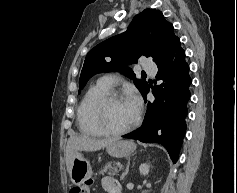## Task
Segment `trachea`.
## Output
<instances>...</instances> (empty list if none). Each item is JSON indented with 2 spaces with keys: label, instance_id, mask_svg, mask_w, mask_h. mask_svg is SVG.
Masks as SVG:
<instances>
[{
  "label": "trachea",
  "instance_id": "obj_1",
  "mask_svg": "<svg viewBox=\"0 0 237 193\" xmlns=\"http://www.w3.org/2000/svg\"><path fill=\"white\" fill-rule=\"evenodd\" d=\"M142 76H146V73H145V72H143V73H142Z\"/></svg>",
  "mask_w": 237,
  "mask_h": 193
}]
</instances>
